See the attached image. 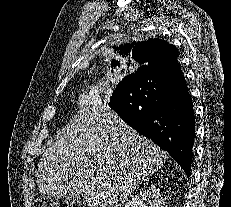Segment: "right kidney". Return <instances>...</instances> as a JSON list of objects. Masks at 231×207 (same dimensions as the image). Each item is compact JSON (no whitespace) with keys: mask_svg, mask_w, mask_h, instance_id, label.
<instances>
[{"mask_svg":"<svg viewBox=\"0 0 231 207\" xmlns=\"http://www.w3.org/2000/svg\"><path fill=\"white\" fill-rule=\"evenodd\" d=\"M125 207H163V198L155 188L149 187L135 195Z\"/></svg>","mask_w":231,"mask_h":207,"instance_id":"1","label":"right kidney"}]
</instances>
